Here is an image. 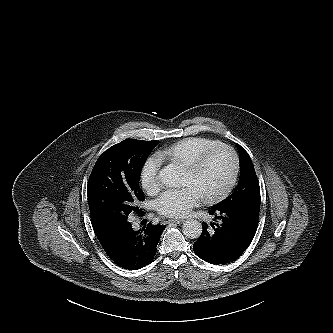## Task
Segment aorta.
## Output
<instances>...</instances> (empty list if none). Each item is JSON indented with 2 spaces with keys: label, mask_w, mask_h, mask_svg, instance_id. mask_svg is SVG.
I'll list each match as a JSON object with an SVG mask.
<instances>
[{
  "label": "aorta",
  "mask_w": 333,
  "mask_h": 333,
  "mask_svg": "<svg viewBox=\"0 0 333 333\" xmlns=\"http://www.w3.org/2000/svg\"><path fill=\"white\" fill-rule=\"evenodd\" d=\"M159 179L166 186H180L182 183L180 168L174 164L163 167L159 171ZM182 232L187 238L198 239L202 233V225L195 219L187 220L182 225Z\"/></svg>",
  "instance_id": "762f6f07"
}]
</instances>
